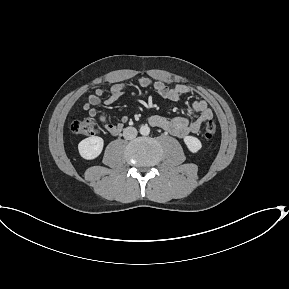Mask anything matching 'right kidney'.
<instances>
[{"label":"right kidney","instance_id":"1","mask_svg":"<svg viewBox=\"0 0 289 289\" xmlns=\"http://www.w3.org/2000/svg\"><path fill=\"white\" fill-rule=\"evenodd\" d=\"M104 140L98 136H91L82 140L78 150L82 158L92 160L98 157L103 150Z\"/></svg>","mask_w":289,"mask_h":289}]
</instances>
